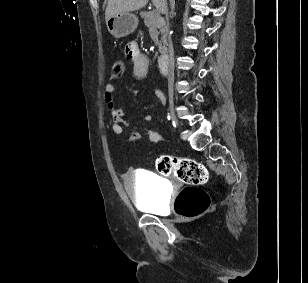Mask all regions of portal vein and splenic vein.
Masks as SVG:
<instances>
[{"instance_id": "obj_1", "label": "portal vein and splenic vein", "mask_w": 308, "mask_h": 283, "mask_svg": "<svg viewBox=\"0 0 308 283\" xmlns=\"http://www.w3.org/2000/svg\"><path fill=\"white\" fill-rule=\"evenodd\" d=\"M156 9H157V11L160 10V6L157 5V6H156Z\"/></svg>"}]
</instances>
